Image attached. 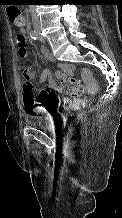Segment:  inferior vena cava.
<instances>
[{"label":"inferior vena cava","mask_w":122,"mask_h":218,"mask_svg":"<svg viewBox=\"0 0 122 218\" xmlns=\"http://www.w3.org/2000/svg\"><path fill=\"white\" fill-rule=\"evenodd\" d=\"M32 23H33V26L35 29L39 28V19H38L37 15H35V14L32 15Z\"/></svg>","instance_id":"obj_1"}]
</instances>
